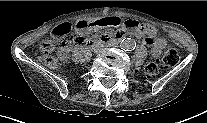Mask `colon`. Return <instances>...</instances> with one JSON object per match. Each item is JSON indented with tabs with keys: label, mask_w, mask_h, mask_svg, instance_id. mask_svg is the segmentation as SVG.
Instances as JSON below:
<instances>
[{
	"label": "colon",
	"mask_w": 207,
	"mask_h": 123,
	"mask_svg": "<svg viewBox=\"0 0 207 123\" xmlns=\"http://www.w3.org/2000/svg\"><path fill=\"white\" fill-rule=\"evenodd\" d=\"M52 37L62 44L83 43V37L74 38L71 36V26L69 23L57 25L52 32ZM37 58L44 64L50 67H57V61L53 57L52 41L38 43L35 49ZM180 56L176 48H169L161 59L150 61L145 68V72L149 76H154L159 73L162 68L173 67L179 62Z\"/></svg>",
	"instance_id": "colon-1"
}]
</instances>
